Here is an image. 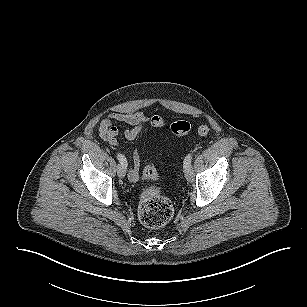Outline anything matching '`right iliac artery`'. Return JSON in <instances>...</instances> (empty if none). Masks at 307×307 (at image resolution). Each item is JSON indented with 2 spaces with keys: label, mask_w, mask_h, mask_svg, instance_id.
Returning <instances> with one entry per match:
<instances>
[{
  "label": "right iliac artery",
  "mask_w": 307,
  "mask_h": 307,
  "mask_svg": "<svg viewBox=\"0 0 307 307\" xmlns=\"http://www.w3.org/2000/svg\"><path fill=\"white\" fill-rule=\"evenodd\" d=\"M117 158H118L119 162L121 163V165L126 169V167H127L126 158L120 153H117Z\"/></svg>",
  "instance_id": "obj_1"
}]
</instances>
